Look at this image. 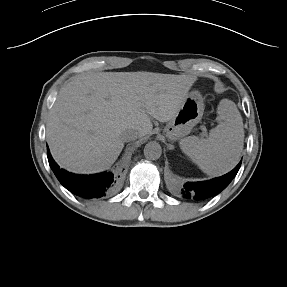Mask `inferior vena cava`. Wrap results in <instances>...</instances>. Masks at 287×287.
<instances>
[{
	"instance_id": "obj_1",
	"label": "inferior vena cava",
	"mask_w": 287,
	"mask_h": 287,
	"mask_svg": "<svg viewBox=\"0 0 287 287\" xmlns=\"http://www.w3.org/2000/svg\"><path fill=\"white\" fill-rule=\"evenodd\" d=\"M140 136L139 132L136 130L128 129L124 131L121 135V138L124 142H130L137 139Z\"/></svg>"
}]
</instances>
